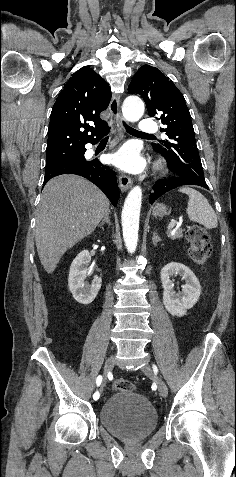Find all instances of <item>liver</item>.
<instances>
[{
  "mask_svg": "<svg viewBox=\"0 0 236 477\" xmlns=\"http://www.w3.org/2000/svg\"><path fill=\"white\" fill-rule=\"evenodd\" d=\"M108 198L91 182L60 175L44 187L37 209L35 242L47 273L64 253L90 235L109 212Z\"/></svg>",
  "mask_w": 236,
  "mask_h": 477,
  "instance_id": "obj_1",
  "label": "liver"
}]
</instances>
